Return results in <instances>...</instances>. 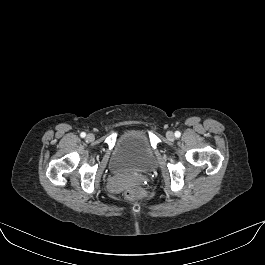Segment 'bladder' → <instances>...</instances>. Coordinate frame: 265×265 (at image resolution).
Returning <instances> with one entry per match:
<instances>
[{
    "instance_id": "obj_1",
    "label": "bladder",
    "mask_w": 265,
    "mask_h": 265,
    "mask_svg": "<svg viewBox=\"0 0 265 265\" xmlns=\"http://www.w3.org/2000/svg\"><path fill=\"white\" fill-rule=\"evenodd\" d=\"M155 165V153L144 131L131 129L117 138L109 163L113 173L149 171Z\"/></svg>"
}]
</instances>
